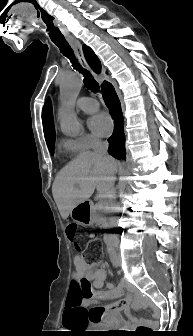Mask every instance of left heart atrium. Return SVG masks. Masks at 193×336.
<instances>
[{"mask_svg": "<svg viewBox=\"0 0 193 336\" xmlns=\"http://www.w3.org/2000/svg\"><path fill=\"white\" fill-rule=\"evenodd\" d=\"M89 128L98 136H107L113 128V122L107 113L101 112L90 118Z\"/></svg>", "mask_w": 193, "mask_h": 336, "instance_id": "1", "label": "left heart atrium"}]
</instances>
